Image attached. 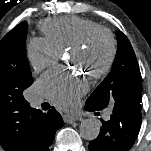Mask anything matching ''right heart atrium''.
<instances>
[{"label": "right heart atrium", "instance_id": "right-heart-atrium-1", "mask_svg": "<svg viewBox=\"0 0 151 151\" xmlns=\"http://www.w3.org/2000/svg\"><path fill=\"white\" fill-rule=\"evenodd\" d=\"M26 54L35 71L54 65L61 57V51L45 37L31 38L27 43Z\"/></svg>", "mask_w": 151, "mask_h": 151}]
</instances>
